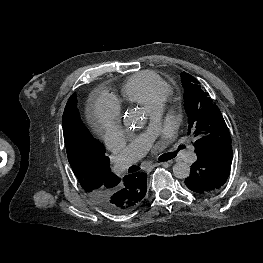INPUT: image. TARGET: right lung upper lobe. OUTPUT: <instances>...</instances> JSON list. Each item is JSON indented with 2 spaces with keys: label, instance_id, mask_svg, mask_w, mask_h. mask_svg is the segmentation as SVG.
<instances>
[{
  "label": "right lung upper lobe",
  "instance_id": "cb5924a9",
  "mask_svg": "<svg viewBox=\"0 0 263 263\" xmlns=\"http://www.w3.org/2000/svg\"><path fill=\"white\" fill-rule=\"evenodd\" d=\"M63 134H64L66 151L68 152L70 142L66 132L63 131ZM104 165H105V169L101 176V185L94 193L106 191L107 189H109L108 184L114 181L116 178H119L118 176H116L111 172L110 161L107 156L106 159L104 160ZM127 190H128L129 199L127 203L118 211L120 213L128 212L136 208L146 194V188L143 186H139L137 184H130Z\"/></svg>",
  "mask_w": 263,
  "mask_h": 263
}]
</instances>
